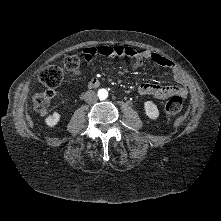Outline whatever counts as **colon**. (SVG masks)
I'll return each mask as SVG.
<instances>
[{
  "label": "colon",
  "mask_w": 221,
  "mask_h": 221,
  "mask_svg": "<svg viewBox=\"0 0 221 221\" xmlns=\"http://www.w3.org/2000/svg\"><path fill=\"white\" fill-rule=\"evenodd\" d=\"M80 59L75 56L71 55L64 59L63 67L57 65H50L43 68L39 75L38 79L41 84L50 88L46 91L35 92L32 96V103L34 110L38 113H44L51 105L54 99V92L51 90L59 86L65 74L72 73L78 74L80 72ZM183 108V101L182 98L179 96H173L165 105V112L170 115L178 114Z\"/></svg>",
  "instance_id": "colon-1"
}]
</instances>
